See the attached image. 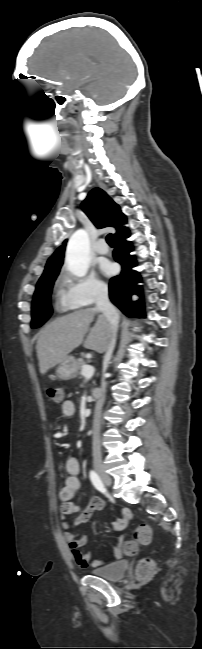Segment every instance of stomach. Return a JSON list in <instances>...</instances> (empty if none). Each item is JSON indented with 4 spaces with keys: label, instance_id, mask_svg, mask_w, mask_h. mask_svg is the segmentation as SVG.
Segmentation results:
<instances>
[{
    "label": "stomach",
    "instance_id": "0dacf381",
    "mask_svg": "<svg viewBox=\"0 0 202 649\" xmlns=\"http://www.w3.org/2000/svg\"><path fill=\"white\" fill-rule=\"evenodd\" d=\"M79 370L78 360L73 356H67L57 367L56 374L62 380L76 377Z\"/></svg>",
    "mask_w": 202,
    "mask_h": 649
}]
</instances>
